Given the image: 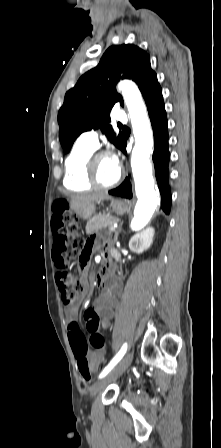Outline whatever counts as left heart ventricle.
<instances>
[{"instance_id":"obj_1","label":"left heart ventricle","mask_w":221,"mask_h":448,"mask_svg":"<svg viewBox=\"0 0 221 448\" xmlns=\"http://www.w3.org/2000/svg\"><path fill=\"white\" fill-rule=\"evenodd\" d=\"M119 170L114 166L112 156H100L97 159V175L102 183H110L117 177Z\"/></svg>"}]
</instances>
